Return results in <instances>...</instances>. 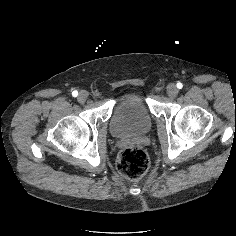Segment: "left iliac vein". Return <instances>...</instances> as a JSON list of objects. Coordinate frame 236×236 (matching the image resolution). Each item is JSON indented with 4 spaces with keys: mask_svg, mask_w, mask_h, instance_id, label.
<instances>
[{
    "mask_svg": "<svg viewBox=\"0 0 236 236\" xmlns=\"http://www.w3.org/2000/svg\"><path fill=\"white\" fill-rule=\"evenodd\" d=\"M178 89L174 84H169L167 86V94L171 98H175L178 95Z\"/></svg>",
    "mask_w": 236,
    "mask_h": 236,
    "instance_id": "left-iliac-vein-1",
    "label": "left iliac vein"
}]
</instances>
